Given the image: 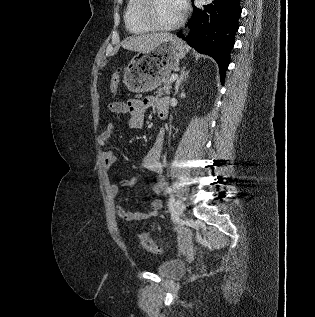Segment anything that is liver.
<instances>
[{"mask_svg":"<svg viewBox=\"0 0 315 317\" xmlns=\"http://www.w3.org/2000/svg\"><path fill=\"white\" fill-rule=\"evenodd\" d=\"M168 33H153L147 35H139L128 38L123 43V48L130 51L146 52L156 46L164 37L169 36Z\"/></svg>","mask_w":315,"mask_h":317,"instance_id":"6515ba94","label":"liver"}]
</instances>
